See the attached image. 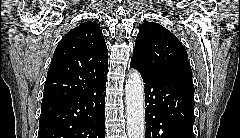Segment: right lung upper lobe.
Instances as JSON below:
<instances>
[{
  "label": "right lung upper lobe",
  "mask_w": 240,
  "mask_h": 138,
  "mask_svg": "<svg viewBox=\"0 0 240 138\" xmlns=\"http://www.w3.org/2000/svg\"><path fill=\"white\" fill-rule=\"evenodd\" d=\"M107 46L97 23L84 22L57 45L48 69L42 105L88 92L107 79Z\"/></svg>",
  "instance_id": "right-lung-upper-lobe-1"
}]
</instances>
